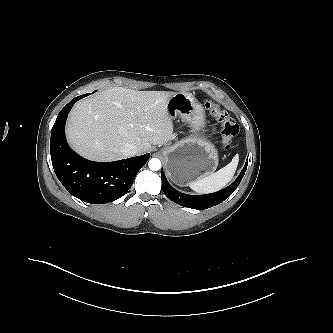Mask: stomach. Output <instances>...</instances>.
Listing matches in <instances>:
<instances>
[{
  "instance_id": "1",
  "label": "stomach",
  "mask_w": 333,
  "mask_h": 333,
  "mask_svg": "<svg viewBox=\"0 0 333 333\" xmlns=\"http://www.w3.org/2000/svg\"><path fill=\"white\" fill-rule=\"evenodd\" d=\"M170 117L180 116L189 127L190 136L162 150L167 173L180 186L211 175L218 166L215 146L201 132L205 127V112L190 93L179 92L167 102Z\"/></svg>"
}]
</instances>
